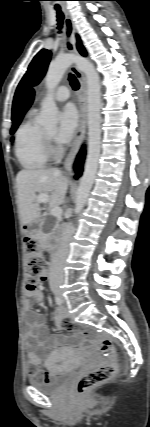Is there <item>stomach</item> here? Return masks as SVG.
I'll list each match as a JSON object with an SVG mask.
<instances>
[{"instance_id":"stomach-1","label":"stomach","mask_w":150,"mask_h":427,"mask_svg":"<svg viewBox=\"0 0 150 427\" xmlns=\"http://www.w3.org/2000/svg\"><path fill=\"white\" fill-rule=\"evenodd\" d=\"M29 232L32 234H36V233H38V228L34 227L33 229H29Z\"/></svg>"}]
</instances>
